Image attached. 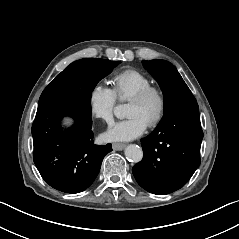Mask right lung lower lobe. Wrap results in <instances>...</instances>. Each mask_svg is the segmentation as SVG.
<instances>
[{"mask_svg":"<svg viewBox=\"0 0 239 239\" xmlns=\"http://www.w3.org/2000/svg\"><path fill=\"white\" fill-rule=\"evenodd\" d=\"M75 124L62 131L61 120ZM90 102L78 96L59 98L38 106L32 125L34 163L44 181L64 193H79L95 180L111 144L93 143Z\"/></svg>","mask_w":239,"mask_h":239,"instance_id":"98d812e1","label":"right lung lower lobe"}]
</instances>
